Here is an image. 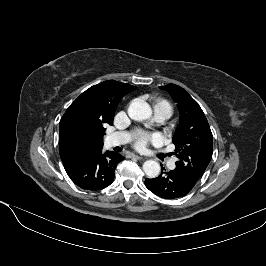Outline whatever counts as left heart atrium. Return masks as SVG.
Here are the masks:
<instances>
[{
    "label": "left heart atrium",
    "instance_id": "left-heart-atrium-1",
    "mask_svg": "<svg viewBox=\"0 0 266 266\" xmlns=\"http://www.w3.org/2000/svg\"><path fill=\"white\" fill-rule=\"evenodd\" d=\"M159 136L157 134H141L136 140V146L139 149L145 148V146L150 142H158Z\"/></svg>",
    "mask_w": 266,
    "mask_h": 266
}]
</instances>
